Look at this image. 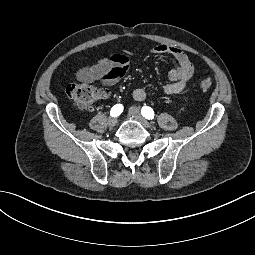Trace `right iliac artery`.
Returning <instances> with one entry per match:
<instances>
[{"label":"right iliac artery","mask_w":255,"mask_h":255,"mask_svg":"<svg viewBox=\"0 0 255 255\" xmlns=\"http://www.w3.org/2000/svg\"><path fill=\"white\" fill-rule=\"evenodd\" d=\"M123 111V105L122 104H116L111 108L110 115L112 117L119 116Z\"/></svg>","instance_id":"82829eb1"}]
</instances>
